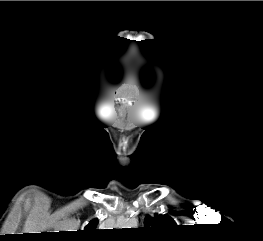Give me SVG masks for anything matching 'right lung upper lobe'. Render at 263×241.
I'll list each match as a JSON object with an SVG mask.
<instances>
[{"instance_id":"obj_1","label":"right lung upper lobe","mask_w":263,"mask_h":241,"mask_svg":"<svg viewBox=\"0 0 263 241\" xmlns=\"http://www.w3.org/2000/svg\"><path fill=\"white\" fill-rule=\"evenodd\" d=\"M98 219H93L89 222V224L84 229V234L86 235V238H94V231L97 227Z\"/></svg>"}]
</instances>
